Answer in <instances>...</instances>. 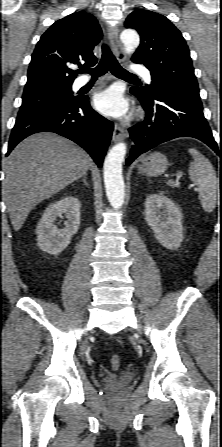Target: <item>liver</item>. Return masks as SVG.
Listing matches in <instances>:
<instances>
[{
    "instance_id": "liver-1",
    "label": "liver",
    "mask_w": 222,
    "mask_h": 447,
    "mask_svg": "<svg viewBox=\"0 0 222 447\" xmlns=\"http://www.w3.org/2000/svg\"><path fill=\"white\" fill-rule=\"evenodd\" d=\"M90 156L68 139L38 133L24 139L10 153L4 171L3 192L15 231L41 201L83 177Z\"/></svg>"
}]
</instances>
